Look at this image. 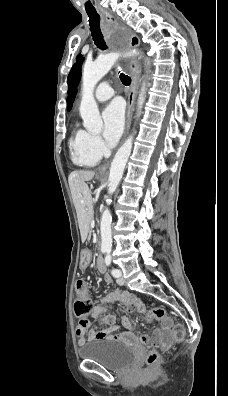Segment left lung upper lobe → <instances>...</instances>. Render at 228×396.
<instances>
[{"mask_svg":"<svg viewBox=\"0 0 228 396\" xmlns=\"http://www.w3.org/2000/svg\"><path fill=\"white\" fill-rule=\"evenodd\" d=\"M83 63V57L78 54L76 57V63L73 65L69 75H68V97H67V110L70 111L72 108V103L75 99L77 86L81 78V66Z\"/></svg>","mask_w":228,"mask_h":396,"instance_id":"5c2ea615","label":"left lung upper lobe"}]
</instances>
